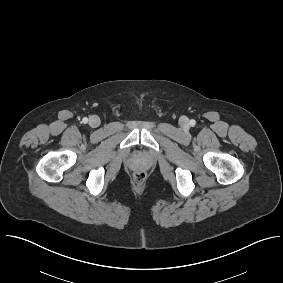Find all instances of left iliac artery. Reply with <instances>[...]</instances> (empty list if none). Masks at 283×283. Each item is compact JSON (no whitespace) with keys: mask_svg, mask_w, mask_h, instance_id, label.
<instances>
[{"mask_svg":"<svg viewBox=\"0 0 283 283\" xmlns=\"http://www.w3.org/2000/svg\"><path fill=\"white\" fill-rule=\"evenodd\" d=\"M195 124H196V121H195V120H193V119L190 120V125H191V126H195Z\"/></svg>","mask_w":283,"mask_h":283,"instance_id":"left-iliac-artery-1","label":"left iliac artery"}]
</instances>
